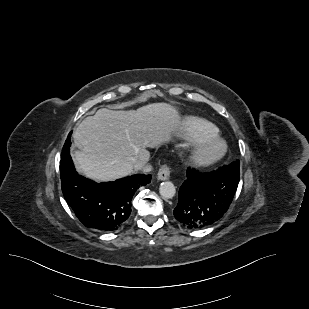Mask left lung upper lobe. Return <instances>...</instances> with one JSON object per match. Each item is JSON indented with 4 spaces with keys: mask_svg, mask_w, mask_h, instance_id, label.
Listing matches in <instances>:
<instances>
[{
    "mask_svg": "<svg viewBox=\"0 0 309 309\" xmlns=\"http://www.w3.org/2000/svg\"><path fill=\"white\" fill-rule=\"evenodd\" d=\"M239 163H240L239 160H236V161L232 162L231 164H229V166H230L233 170H235L236 172H240V171H239V168H240Z\"/></svg>",
    "mask_w": 309,
    "mask_h": 309,
    "instance_id": "obj_1",
    "label": "left lung upper lobe"
}]
</instances>
